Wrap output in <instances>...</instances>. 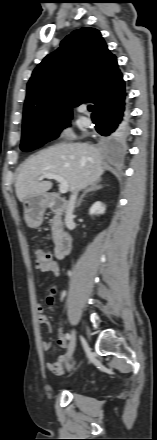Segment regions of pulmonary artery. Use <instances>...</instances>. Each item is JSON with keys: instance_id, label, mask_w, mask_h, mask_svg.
<instances>
[{"instance_id": "e3ab8cb5", "label": "pulmonary artery", "mask_w": 157, "mask_h": 440, "mask_svg": "<svg viewBox=\"0 0 157 440\" xmlns=\"http://www.w3.org/2000/svg\"><path fill=\"white\" fill-rule=\"evenodd\" d=\"M83 110H84V109L81 108V111H83ZM82 118H83V120H84L85 122H87V121L89 120L87 116H83Z\"/></svg>"}]
</instances>
